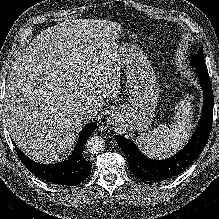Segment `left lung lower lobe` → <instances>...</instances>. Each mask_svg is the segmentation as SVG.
I'll return each instance as SVG.
<instances>
[{
	"instance_id": "obj_1",
	"label": "left lung lower lobe",
	"mask_w": 219,
	"mask_h": 219,
	"mask_svg": "<svg viewBox=\"0 0 219 219\" xmlns=\"http://www.w3.org/2000/svg\"><path fill=\"white\" fill-rule=\"evenodd\" d=\"M203 88L204 105L199 124L187 146L178 154L166 160L146 158L133 142L124 136L116 135L115 140L124 152L132 173L141 180L160 182L184 171L203 151L212 128L213 91L208 70L195 67Z\"/></svg>"
}]
</instances>
